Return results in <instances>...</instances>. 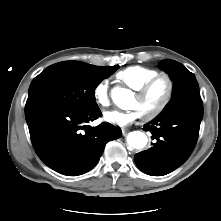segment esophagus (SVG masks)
<instances>
[{"label":"esophagus","instance_id":"1","mask_svg":"<svg viewBox=\"0 0 221 221\" xmlns=\"http://www.w3.org/2000/svg\"><path fill=\"white\" fill-rule=\"evenodd\" d=\"M127 133H128V130H127V129H122V134H123V136H126Z\"/></svg>","mask_w":221,"mask_h":221}]
</instances>
